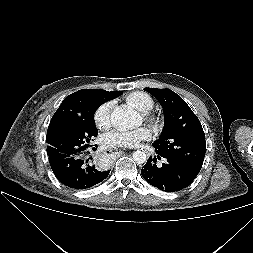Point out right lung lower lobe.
Here are the masks:
<instances>
[{"label":"right lung lower lobe","instance_id":"98d812e1","mask_svg":"<svg viewBox=\"0 0 253 253\" xmlns=\"http://www.w3.org/2000/svg\"><path fill=\"white\" fill-rule=\"evenodd\" d=\"M87 157V152L60 159L49 158L57 179L73 189L90 188L107 178L109 171H102Z\"/></svg>","mask_w":253,"mask_h":253}]
</instances>
